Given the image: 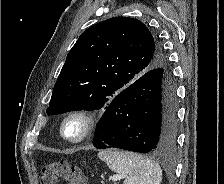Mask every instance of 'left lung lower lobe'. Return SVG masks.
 <instances>
[{
  "label": "left lung lower lobe",
  "mask_w": 224,
  "mask_h": 184,
  "mask_svg": "<svg viewBox=\"0 0 224 184\" xmlns=\"http://www.w3.org/2000/svg\"><path fill=\"white\" fill-rule=\"evenodd\" d=\"M167 67L154 68L115 96L97 124L93 145L167 153L177 134L176 94Z\"/></svg>",
  "instance_id": "left-lung-lower-lobe-1"
}]
</instances>
